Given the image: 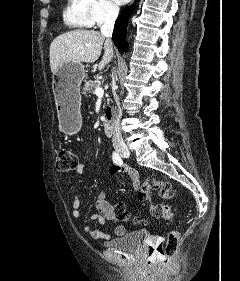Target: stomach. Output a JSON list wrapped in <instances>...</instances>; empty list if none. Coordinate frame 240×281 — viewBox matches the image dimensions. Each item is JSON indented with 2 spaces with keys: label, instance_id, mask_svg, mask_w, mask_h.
<instances>
[{
  "label": "stomach",
  "instance_id": "0dacf381",
  "mask_svg": "<svg viewBox=\"0 0 240 281\" xmlns=\"http://www.w3.org/2000/svg\"><path fill=\"white\" fill-rule=\"evenodd\" d=\"M84 78L85 66L74 62L63 64L52 78L59 123L66 134L77 133L82 125L80 85Z\"/></svg>",
  "mask_w": 240,
  "mask_h": 281
}]
</instances>
